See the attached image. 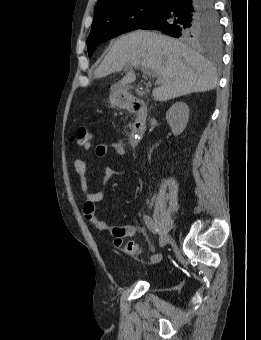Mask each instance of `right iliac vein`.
Wrapping results in <instances>:
<instances>
[{"instance_id":"right-iliac-vein-1","label":"right iliac vein","mask_w":261,"mask_h":340,"mask_svg":"<svg viewBox=\"0 0 261 340\" xmlns=\"http://www.w3.org/2000/svg\"><path fill=\"white\" fill-rule=\"evenodd\" d=\"M169 240V234L167 232H164L159 241L160 248H164L168 244Z\"/></svg>"}]
</instances>
